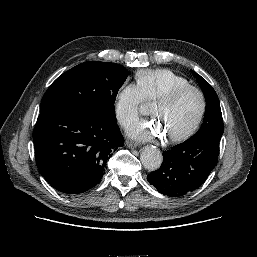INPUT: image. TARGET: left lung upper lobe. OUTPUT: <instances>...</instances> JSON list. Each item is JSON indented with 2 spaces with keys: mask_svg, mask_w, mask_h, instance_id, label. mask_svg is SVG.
I'll return each instance as SVG.
<instances>
[{
  "mask_svg": "<svg viewBox=\"0 0 257 257\" xmlns=\"http://www.w3.org/2000/svg\"><path fill=\"white\" fill-rule=\"evenodd\" d=\"M202 88L206 98L205 117L199 131L189 140L213 138L220 140L224 131L222 113L218 96L212 86L199 74L191 70Z\"/></svg>",
  "mask_w": 257,
  "mask_h": 257,
  "instance_id": "5c2ea615",
  "label": "left lung upper lobe"
}]
</instances>
